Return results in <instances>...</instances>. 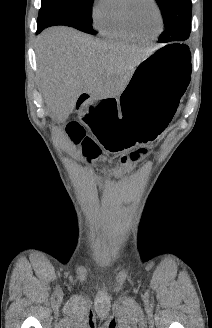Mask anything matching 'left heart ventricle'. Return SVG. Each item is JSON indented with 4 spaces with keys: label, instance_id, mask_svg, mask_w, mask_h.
<instances>
[{
    "label": "left heart ventricle",
    "instance_id": "obj_1",
    "mask_svg": "<svg viewBox=\"0 0 212 328\" xmlns=\"http://www.w3.org/2000/svg\"><path fill=\"white\" fill-rule=\"evenodd\" d=\"M133 17L140 29L154 33L159 28V17L149 0H137L133 6Z\"/></svg>",
    "mask_w": 212,
    "mask_h": 328
}]
</instances>
